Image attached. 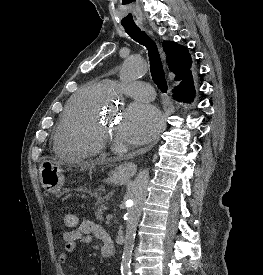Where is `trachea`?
<instances>
[{
	"label": "trachea",
	"mask_w": 263,
	"mask_h": 275,
	"mask_svg": "<svg viewBox=\"0 0 263 275\" xmlns=\"http://www.w3.org/2000/svg\"><path fill=\"white\" fill-rule=\"evenodd\" d=\"M126 33L136 42L144 45L148 50V56L150 61L151 75L154 83L163 92H167V81L165 78L161 58L158 52L156 44L151 40V38L138 27H124Z\"/></svg>",
	"instance_id": "obj_1"
}]
</instances>
